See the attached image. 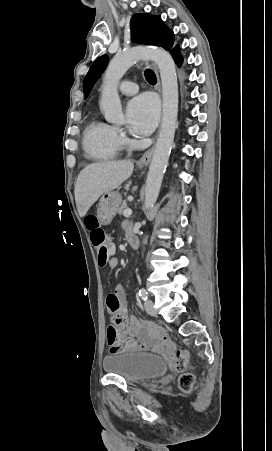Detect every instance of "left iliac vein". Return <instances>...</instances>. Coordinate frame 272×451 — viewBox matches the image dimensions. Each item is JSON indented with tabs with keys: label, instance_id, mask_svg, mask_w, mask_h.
Segmentation results:
<instances>
[{
	"label": "left iliac vein",
	"instance_id": "1",
	"mask_svg": "<svg viewBox=\"0 0 272 451\" xmlns=\"http://www.w3.org/2000/svg\"><path fill=\"white\" fill-rule=\"evenodd\" d=\"M153 305H154V303H153V301L150 300V299H147V300H145V302H144V308H145L146 312H147L149 315H152V316H154V315L157 314V312H156V310H155V308H154Z\"/></svg>",
	"mask_w": 272,
	"mask_h": 451
}]
</instances>
